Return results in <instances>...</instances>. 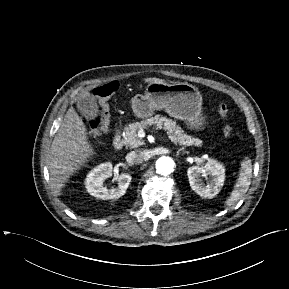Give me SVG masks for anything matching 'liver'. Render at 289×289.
<instances>
[{
    "label": "liver",
    "mask_w": 289,
    "mask_h": 289,
    "mask_svg": "<svg viewBox=\"0 0 289 289\" xmlns=\"http://www.w3.org/2000/svg\"><path fill=\"white\" fill-rule=\"evenodd\" d=\"M145 82L165 83L159 78H147ZM86 131L82 118L73 107L69 108L54 137L48 158L51 188L56 194H60L70 176L95 154Z\"/></svg>",
    "instance_id": "liver-1"
}]
</instances>
